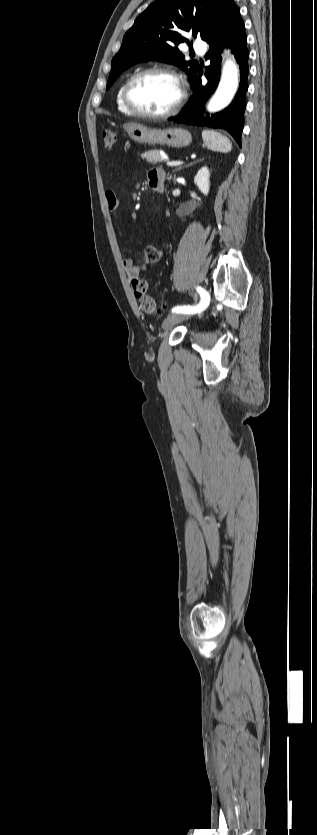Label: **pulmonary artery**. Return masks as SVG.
<instances>
[{"label":"pulmonary artery","instance_id":"pulmonary-artery-1","mask_svg":"<svg viewBox=\"0 0 317 835\" xmlns=\"http://www.w3.org/2000/svg\"><path fill=\"white\" fill-rule=\"evenodd\" d=\"M193 47H194V50L199 54H203L207 50V45L203 41H200V40L196 41L194 43Z\"/></svg>","mask_w":317,"mask_h":835}]
</instances>
